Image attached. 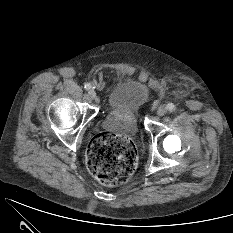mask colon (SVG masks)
Returning a JSON list of instances; mask_svg holds the SVG:
<instances>
[{
    "mask_svg": "<svg viewBox=\"0 0 233 233\" xmlns=\"http://www.w3.org/2000/svg\"><path fill=\"white\" fill-rule=\"evenodd\" d=\"M86 162L93 176L105 185L126 182L137 165L133 142L125 135L102 132L89 143Z\"/></svg>",
    "mask_w": 233,
    "mask_h": 233,
    "instance_id": "1",
    "label": "colon"
}]
</instances>
